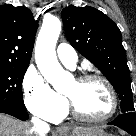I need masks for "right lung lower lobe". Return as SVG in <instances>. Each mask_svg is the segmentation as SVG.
Here are the masks:
<instances>
[{
  "label": "right lung lower lobe",
  "instance_id": "obj_1",
  "mask_svg": "<svg viewBox=\"0 0 136 136\" xmlns=\"http://www.w3.org/2000/svg\"><path fill=\"white\" fill-rule=\"evenodd\" d=\"M0 113H6L12 115L20 120H27L29 118L26 110L12 109V108H0Z\"/></svg>",
  "mask_w": 136,
  "mask_h": 136
}]
</instances>
